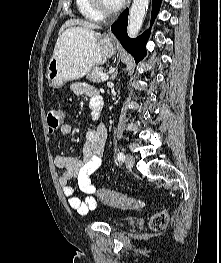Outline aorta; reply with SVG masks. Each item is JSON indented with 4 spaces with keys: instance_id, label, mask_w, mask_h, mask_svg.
I'll list each match as a JSON object with an SVG mask.
<instances>
[{
    "instance_id": "1",
    "label": "aorta",
    "mask_w": 221,
    "mask_h": 263,
    "mask_svg": "<svg viewBox=\"0 0 221 263\" xmlns=\"http://www.w3.org/2000/svg\"><path fill=\"white\" fill-rule=\"evenodd\" d=\"M149 0H133L127 26L128 35L134 38L138 35L148 8Z\"/></svg>"
}]
</instances>
